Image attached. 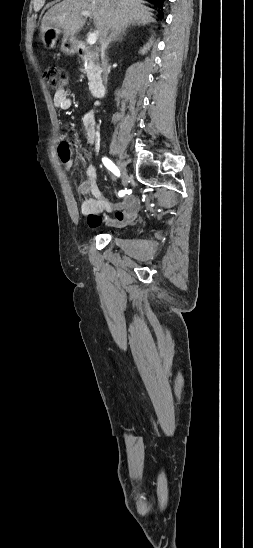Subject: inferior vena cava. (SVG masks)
Segmentation results:
<instances>
[{"mask_svg": "<svg viewBox=\"0 0 253 548\" xmlns=\"http://www.w3.org/2000/svg\"><path fill=\"white\" fill-rule=\"evenodd\" d=\"M108 31H109V28L108 27L105 28L103 33H102V36L100 38L102 79H103V82H104L105 86L107 85V77H108V64H107V60L105 58L106 43H107V40H108V37H107Z\"/></svg>", "mask_w": 253, "mask_h": 548, "instance_id": "inferior-vena-cava-1", "label": "inferior vena cava"}]
</instances>
